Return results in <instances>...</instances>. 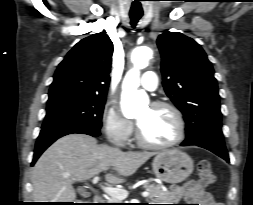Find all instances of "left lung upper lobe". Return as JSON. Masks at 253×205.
<instances>
[{
	"label": "left lung upper lobe",
	"instance_id": "1",
	"mask_svg": "<svg viewBox=\"0 0 253 205\" xmlns=\"http://www.w3.org/2000/svg\"><path fill=\"white\" fill-rule=\"evenodd\" d=\"M157 45L165 92L186 121L184 143L207 136L223 138L217 82L204 50L179 32L161 34Z\"/></svg>",
	"mask_w": 253,
	"mask_h": 205
}]
</instances>
